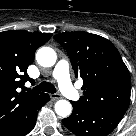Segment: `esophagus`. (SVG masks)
<instances>
[{
    "mask_svg": "<svg viewBox=\"0 0 136 136\" xmlns=\"http://www.w3.org/2000/svg\"><path fill=\"white\" fill-rule=\"evenodd\" d=\"M51 100H58L61 98V95L59 93H52L50 94Z\"/></svg>",
    "mask_w": 136,
    "mask_h": 136,
    "instance_id": "1",
    "label": "esophagus"
}]
</instances>
